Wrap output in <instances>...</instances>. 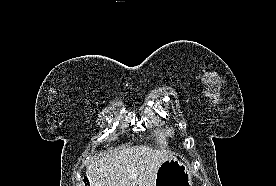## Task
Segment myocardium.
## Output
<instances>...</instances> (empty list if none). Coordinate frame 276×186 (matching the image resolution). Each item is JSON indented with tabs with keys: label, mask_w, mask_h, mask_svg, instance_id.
Returning <instances> with one entry per match:
<instances>
[{
	"label": "myocardium",
	"mask_w": 276,
	"mask_h": 186,
	"mask_svg": "<svg viewBox=\"0 0 276 186\" xmlns=\"http://www.w3.org/2000/svg\"><path fill=\"white\" fill-rule=\"evenodd\" d=\"M168 135L173 136L174 135V130L173 129H168Z\"/></svg>",
	"instance_id": "f54148a6"
}]
</instances>
